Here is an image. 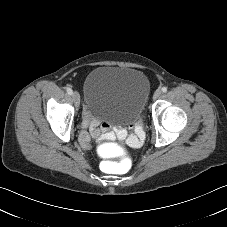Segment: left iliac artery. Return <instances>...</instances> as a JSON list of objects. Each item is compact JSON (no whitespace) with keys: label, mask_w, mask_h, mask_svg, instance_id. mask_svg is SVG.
Listing matches in <instances>:
<instances>
[{"label":"left iliac artery","mask_w":227,"mask_h":227,"mask_svg":"<svg viewBox=\"0 0 227 227\" xmlns=\"http://www.w3.org/2000/svg\"><path fill=\"white\" fill-rule=\"evenodd\" d=\"M162 92H167V87H163Z\"/></svg>","instance_id":"1"}]
</instances>
